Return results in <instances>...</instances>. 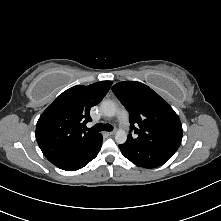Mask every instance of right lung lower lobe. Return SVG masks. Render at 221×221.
I'll return each mask as SVG.
<instances>
[{
    "instance_id": "right-lung-lower-lobe-1",
    "label": "right lung lower lobe",
    "mask_w": 221,
    "mask_h": 221,
    "mask_svg": "<svg viewBox=\"0 0 221 221\" xmlns=\"http://www.w3.org/2000/svg\"><path fill=\"white\" fill-rule=\"evenodd\" d=\"M101 145L102 136L100 135V137L91 146L83 150L71 164L61 169L66 171H75L83 168L98 155Z\"/></svg>"
}]
</instances>
